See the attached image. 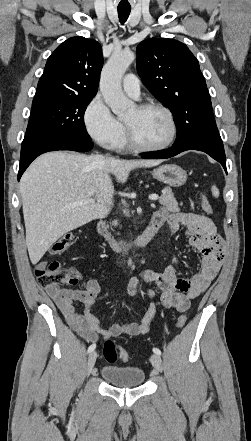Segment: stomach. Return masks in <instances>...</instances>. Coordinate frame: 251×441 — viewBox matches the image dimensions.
<instances>
[{
	"label": "stomach",
	"instance_id": "obj_1",
	"mask_svg": "<svg viewBox=\"0 0 251 441\" xmlns=\"http://www.w3.org/2000/svg\"><path fill=\"white\" fill-rule=\"evenodd\" d=\"M151 174L153 177L172 187H180L187 180V173L180 166L166 164L154 169Z\"/></svg>",
	"mask_w": 251,
	"mask_h": 441
}]
</instances>
